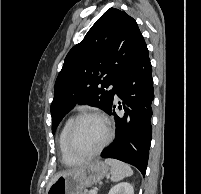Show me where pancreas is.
I'll list each match as a JSON object with an SVG mask.
<instances>
[{
  "instance_id": "1",
  "label": "pancreas",
  "mask_w": 201,
  "mask_h": 194,
  "mask_svg": "<svg viewBox=\"0 0 201 194\" xmlns=\"http://www.w3.org/2000/svg\"><path fill=\"white\" fill-rule=\"evenodd\" d=\"M80 194H90V192L84 191V192H82Z\"/></svg>"
}]
</instances>
